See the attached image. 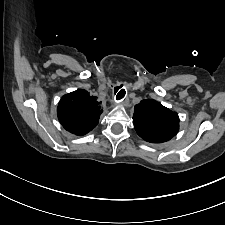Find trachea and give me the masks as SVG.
<instances>
[{
  "label": "trachea",
  "mask_w": 225,
  "mask_h": 225,
  "mask_svg": "<svg viewBox=\"0 0 225 225\" xmlns=\"http://www.w3.org/2000/svg\"><path fill=\"white\" fill-rule=\"evenodd\" d=\"M119 88H121V89H120L119 92L117 93V96H116V99H117V100L123 99L124 96H125V93H126V92H125V89L122 88V85H121L120 87H118V88L115 90V93L118 91Z\"/></svg>",
  "instance_id": "3493384b"
}]
</instances>
